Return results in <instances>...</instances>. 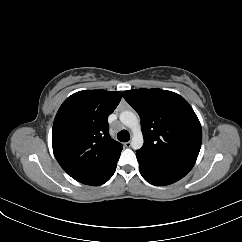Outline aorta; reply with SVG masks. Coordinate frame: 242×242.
<instances>
[{
    "label": "aorta",
    "instance_id": "obj_1",
    "mask_svg": "<svg viewBox=\"0 0 242 242\" xmlns=\"http://www.w3.org/2000/svg\"><path fill=\"white\" fill-rule=\"evenodd\" d=\"M120 121L131 129L132 131V138H131V147L134 150H138L143 146L144 139L143 134L141 131V127L139 124V121L137 119V116L132 111H123L121 112Z\"/></svg>",
    "mask_w": 242,
    "mask_h": 242
}]
</instances>
